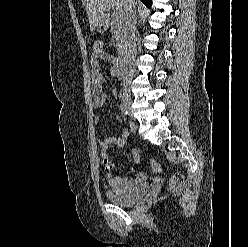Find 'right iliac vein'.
Masks as SVG:
<instances>
[{"instance_id": "1", "label": "right iliac vein", "mask_w": 248, "mask_h": 247, "mask_svg": "<svg viewBox=\"0 0 248 247\" xmlns=\"http://www.w3.org/2000/svg\"><path fill=\"white\" fill-rule=\"evenodd\" d=\"M124 104L126 105V107L130 110L131 109V103H132V99L129 96H125L123 98Z\"/></svg>"}]
</instances>
